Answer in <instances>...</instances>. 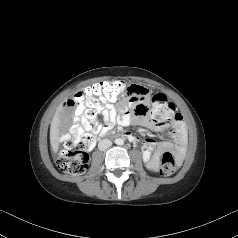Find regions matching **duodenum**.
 Here are the masks:
<instances>
[{
  "mask_svg": "<svg viewBox=\"0 0 238 238\" xmlns=\"http://www.w3.org/2000/svg\"><path fill=\"white\" fill-rule=\"evenodd\" d=\"M123 136H125L128 140H130V141H135V137L134 136H132V135H130V134H124Z\"/></svg>",
  "mask_w": 238,
  "mask_h": 238,
  "instance_id": "duodenum-1",
  "label": "duodenum"
}]
</instances>
